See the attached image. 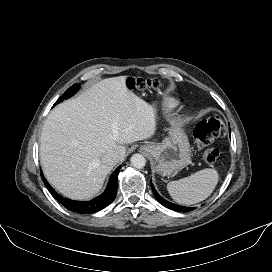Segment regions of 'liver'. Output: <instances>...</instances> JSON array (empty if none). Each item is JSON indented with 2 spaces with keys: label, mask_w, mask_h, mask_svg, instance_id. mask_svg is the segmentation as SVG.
<instances>
[{
  "label": "liver",
  "mask_w": 272,
  "mask_h": 272,
  "mask_svg": "<svg viewBox=\"0 0 272 272\" xmlns=\"http://www.w3.org/2000/svg\"><path fill=\"white\" fill-rule=\"evenodd\" d=\"M127 76L101 80L77 98L56 106L40 139V161L49 183L64 196L88 200L102 188L114 165L102 161L125 144L151 138L156 110L126 86Z\"/></svg>",
  "instance_id": "liver-1"
}]
</instances>
